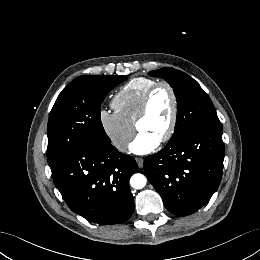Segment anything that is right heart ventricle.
Wrapping results in <instances>:
<instances>
[{
	"mask_svg": "<svg viewBox=\"0 0 260 260\" xmlns=\"http://www.w3.org/2000/svg\"><path fill=\"white\" fill-rule=\"evenodd\" d=\"M157 81L138 77L130 80L112 98L114 110L126 121L133 124L146 91Z\"/></svg>",
	"mask_w": 260,
	"mask_h": 260,
	"instance_id": "right-heart-ventricle-1",
	"label": "right heart ventricle"
}]
</instances>
